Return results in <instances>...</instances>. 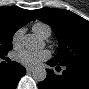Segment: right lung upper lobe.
<instances>
[{
	"mask_svg": "<svg viewBox=\"0 0 89 89\" xmlns=\"http://www.w3.org/2000/svg\"><path fill=\"white\" fill-rule=\"evenodd\" d=\"M33 10L19 8L17 6H8L0 8V29L14 34L19 28L30 21H34Z\"/></svg>",
	"mask_w": 89,
	"mask_h": 89,
	"instance_id": "obj_1",
	"label": "right lung upper lobe"
}]
</instances>
